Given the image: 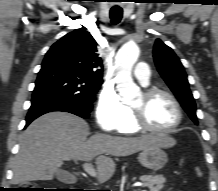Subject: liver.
<instances>
[{"label": "liver", "mask_w": 218, "mask_h": 191, "mask_svg": "<svg viewBox=\"0 0 218 191\" xmlns=\"http://www.w3.org/2000/svg\"><path fill=\"white\" fill-rule=\"evenodd\" d=\"M85 120L65 112L45 114L24 131L13 165V184L33 180H52L66 160L89 161L95 158L99 182L109 180L115 163L107 155L128 156L152 146L170 148L176 141L166 135L119 137L95 134L87 139Z\"/></svg>", "instance_id": "liver-1"}]
</instances>
